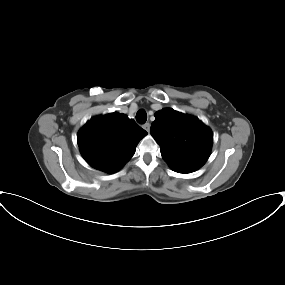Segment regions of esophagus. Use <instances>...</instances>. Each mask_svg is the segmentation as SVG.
Returning <instances> with one entry per match:
<instances>
[{
  "label": "esophagus",
  "mask_w": 285,
  "mask_h": 285,
  "mask_svg": "<svg viewBox=\"0 0 285 285\" xmlns=\"http://www.w3.org/2000/svg\"><path fill=\"white\" fill-rule=\"evenodd\" d=\"M143 128H144L147 132H149V131H150V123H145V124L143 125Z\"/></svg>",
  "instance_id": "1"
}]
</instances>
